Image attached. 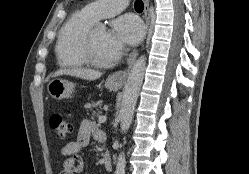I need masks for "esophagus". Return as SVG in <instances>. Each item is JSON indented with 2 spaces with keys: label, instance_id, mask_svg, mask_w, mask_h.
I'll use <instances>...</instances> for the list:
<instances>
[{
  "label": "esophagus",
  "instance_id": "obj_1",
  "mask_svg": "<svg viewBox=\"0 0 249 174\" xmlns=\"http://www.w3.org/2000/svg\"><path fill=\"white\" fill-rule=\"evenodd\" d=\"M144 2V18H145V22H146V28L147 30L149 29V25H150V8H149V0H143ZM138 55V51L135 50L134 52H132L128 58V68L125 70H121V71H117L112 73L109 78L110 80L118 85V86H122L124 85V83L126 82L128 73L130 68L132 67V65L134 64L136 57Z\"/></svg>",
  "mask_w": 249,
  "mask_h": 174
}]
</instances>
